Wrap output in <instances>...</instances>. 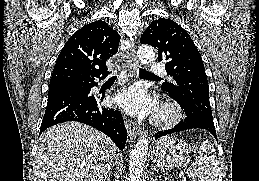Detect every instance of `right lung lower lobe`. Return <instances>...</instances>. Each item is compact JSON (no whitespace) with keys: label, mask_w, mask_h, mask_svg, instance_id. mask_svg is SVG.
<instances>
[{"label":"right lung lower lobe","mask_w":259,"mask_h":181,"mask_svg":"<svg viewBox=\"0 0 259 181\" xmlns=\"http://www.w3.org/2000/svg\"><path fill=\"white\" fill-rule=\"evenodd\" d=\"M83 78L68 83L64 89L48 97L40 134L47 128L66 121H78L90 125L108 135L119 149H123L127 130L121 113L115 108L101 106L99 99L90 94L97 86L95 78Z\"/></svg>","instance_id":"98d812e1"}]
</instances>
